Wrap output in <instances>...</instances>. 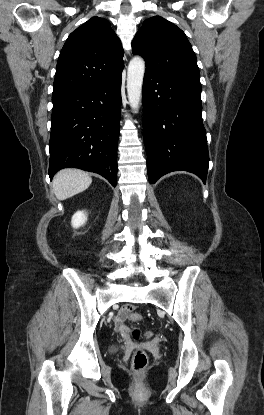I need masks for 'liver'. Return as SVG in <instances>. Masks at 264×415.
Instances as JSON below:
<instances>
[{
    "label": "liver",
    "mask_w": 264,
    "mask_h": 415,
    "mask_svg": "<svg viewBox=\"0 0 264 415\" xmlns=\"http://www.w3.org/2000/svg\"><path fill=\"white\" fill-rule=\"evenodd\" d=\"M92 178L85 171L68 168L59 171L53 179V190L58 200H65L86 190Z\"/></svg>",
    "instance_id": "liver-1"
}]
</instances>
